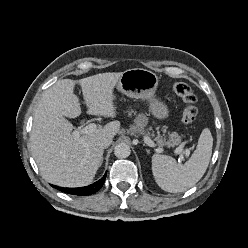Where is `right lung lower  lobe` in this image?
<instances>
[{
    "mask_svg": "<svg viewBox=\"0 0 248 248\" xmlns=\"http://www.w3.org/2000/svg\"><path fill=\"white\" fill-rule=\"evenodd\" d=\"M106 178V173L105 175L97 182L89 185V186H85V187H79V188H63V187H58L55 185H52L53 187L57 188L58 190L62 191V192H66L72 195H81V196H85V195H91L95 192H97L103 185L104 181Z\"/></svg>",
    "mask_w": 248,
    "mask_h": 248,
    "instance_id": "98d812e1",
    "label": "right lung lower lobe"
}]
</instances>
